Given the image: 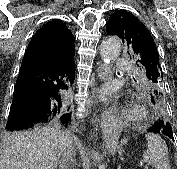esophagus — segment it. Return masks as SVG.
<instances>
[{
  "label": "esophagus",
  "mask_w": 177,
  "mask_h": 169,
  "mask_svg": "<svg viewBox=\"0 0 177 169\" xmlns=\"http://www.w3.org/2000/svg\"><path fill=\"white\" fill-rule=\"evenodd\" d=\"M103 69H105V71ZM108 79L109 77L107 75L106 68L103 66L99 70V80L101 82H106ZM104 91H106L105 84H100L99 92H104ZM109 100H110V97H107L106 102H105V107H104V113L102 114L101 119H100V127L104 135L108 134L113 128V121L110 117V112L107 111Z\"/></svg>",
  "instance_id": "34e87169"
}]
</instances>
